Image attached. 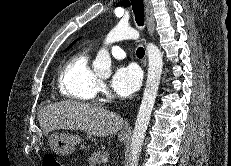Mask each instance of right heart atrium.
I'll return each instance as SVG.
<instances>
[{
	"instance_id": "d8ad5b80",
	"label": "right heart atrium",
	"mask_w": 231,
	"mask_h": 166,
	"mask_svg": "<svg viewBox=\"0 0 231 166\" xmlns=\"http://www.w3.org/2000/svg\"><path fill=\"white\" fill-rule=\"evenodd\" d=\"M97 92L104 93L105 92V85L102 81L97 82Z\"/></svg>"
}]
</instances>
